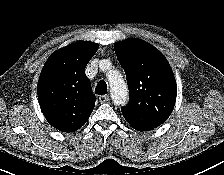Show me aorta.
Listing matches in <instances>:
<instances>
[{"label":"aorta","mask_w":224,"mask_h":175,"mask_svg":"<svg viewBox=\"0 0 224 175\" xmlns=\"http://www.w3.org/2000/svg\"><path fill=\"white\" fill-rule=\"evenodd\" d=\"M104 61L102 64H106ZM110 85L111 97L116 105H124L128 99V88L122 75L116 70H110L107 74Z\"/></svg>","instance_id":"aorta-1"}]
</instances>
